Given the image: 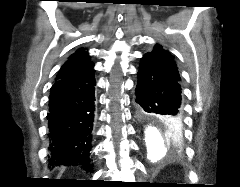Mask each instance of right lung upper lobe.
Returning <instances> with one entry per match:
<instances>
[{
  "label": "right lung upper lobe",
  "instance_id": "obj_1",
  "mask_svg": "<svg viewBox=\"0 0 240 187\" xmlns=\"http://www.w3.org/2000/svg\"><path fill=\"white\" fill-rule=\"evenodd\" d=\"M91 64L93 63L89 60L88 53L84 49H79L61 67L56 80Z\"/></svg>",
  "mask_w": 240,
  "mask_h": 187
}]
</instances>
